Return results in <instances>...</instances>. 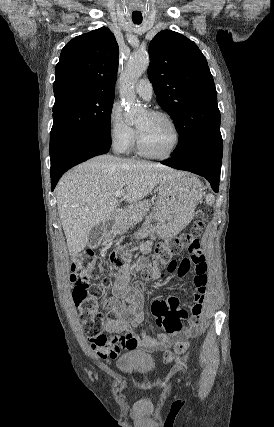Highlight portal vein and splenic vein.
<instances>
[{"mask_svg": "<svg viewBox=\"0 0 274 427\" xmlns=\"http://www.w3.org/2000/svg\"><path fill=\"white\" fill-rule=\"evenodd\" d=\"M122 196H125V190H119V192H115V198H122ZM135 217V215H133Z\"/></svg>", "mask_w": 274, "mask_h": 427, "instance_id": "18ae733b", "label": "portal vein and splenic vein"}]
</instances>
